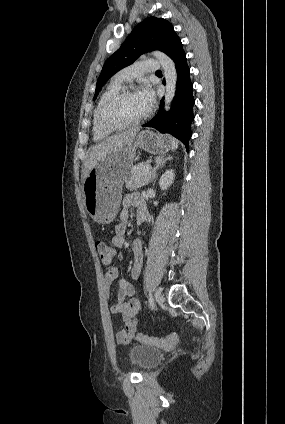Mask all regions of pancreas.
I'll return each instance as SVG.
<instances>
[{
    "label": "pancreas",
    "instance_id": "cf45deb5",
    "mask_svg": "<svg viewBox=\"0 0 285 424\" xmlns=\"http://www.w3.org/2000/svg\"><path fill=\"white\" fill-rule=\"evenodd\" d=\"M145 167L144 163H139L131 169V174L128 180L125 182V186L129 190H135L142 186L148 185L151 179V169L144 174L143 169Z\"/></svg>",
    "mask_w": 285,
    "mask_h": 424
}]
</instances>
